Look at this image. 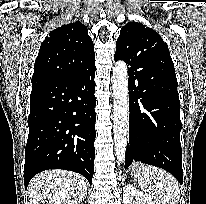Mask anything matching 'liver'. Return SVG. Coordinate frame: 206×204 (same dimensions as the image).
<instances>
[{
    "mask_svg": "<svg viewBox=\"0 0 206 204\" xmlns=\"http://www.w3.org/2000/svg\"><path fill=\"white\" fill-rule=\"evenodd\" d=\"M86 190L82 175L59 169L36 175L27 189L30 204H80Z\"/></svg>",
    "mask_w": 206,
    "mask_h": 204,
    "instance_id": "1",
    "label": "liver"
}]
</instances>
